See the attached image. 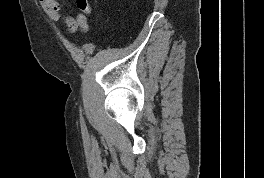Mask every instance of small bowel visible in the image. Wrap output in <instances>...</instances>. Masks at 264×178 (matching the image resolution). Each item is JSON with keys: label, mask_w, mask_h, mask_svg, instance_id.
<instances>
[{"label": "small bowel", "mask_w": 264, "mask_h": 178, "mask_svg": "<svg viewBox=\"0 0 264 178\" xmlns=\"http://www.w3.org/2000/svg\"><path fill=\"white\" fill-rule=\"evenodd\" d=\"M46 14L52 21L63 20L67 30L70 33H76L79 29H84L88 26L87 17L83 14H78L75 18L64 14L61 11L60 3L57 0H38Z\"/></svg>", "instance_id": "small-bowel-1"}]
</instances>
